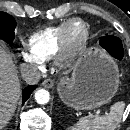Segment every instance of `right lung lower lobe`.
<instances>
[{
	"label": "right lung lower lobe",
	"instance_id": "obj_1",
	"mask_svg": "<svg viewBox=\"0 0 130 130\" xmlns=\"http://www.w3.org/2000/svg\"><path fill=\"white\" fill-rule=\"evenodd\" d=\"M36 87V85H30L22 91V105L27 101V99L30 97L31 93Z\"/></svg>",
	"mask_w": 130,
	"mask_h": 130
}]
</instances>
